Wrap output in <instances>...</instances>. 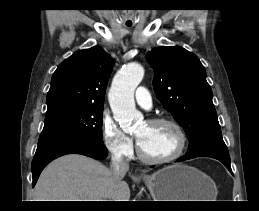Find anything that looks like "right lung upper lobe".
<instances>
[{
    "label": "right lung upper lobe",
    "instance_id": "obj_1",
    "mask_svg": "<svg viewBox=\"0 0 259 211\" xmlns=\"http://www.w3.org/2000/svg\"><path fill=\"white\" fill-rule=\"evenodd\" d=\"M113 59L100 47L76 51L52 76L45 122L104 105Z\"/></svg>",
    "mask_w": 259,
    "mask_h": 211
}]
</instances>
